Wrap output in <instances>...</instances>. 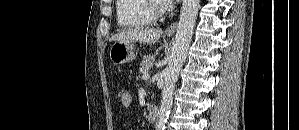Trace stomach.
<instances>
[{"label": "stomach", "mask_w": 299, "mask_h": 130, "mask_svg": "<svg viewBox=\"0 0 299 130\" xmlns=\"http://www.w3.org/2000/svg\"><path fill=\"white\" fill-rule=\"evenodd\" d=\"M111 61L120 65L126 62L133 61L136 58L135 46L132 42H115L109 50Z\"/></svg>", "instance_id": "obj_1"}]
</instances>
